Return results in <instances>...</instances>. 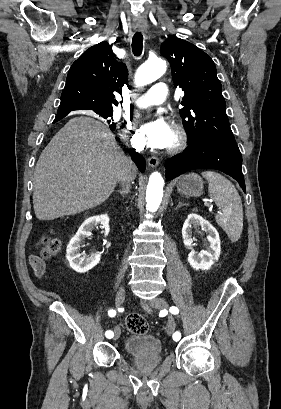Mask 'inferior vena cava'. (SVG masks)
<instances>
[{
  "label": "inferior vena cava",
  "instance_id": "602c4592",
  "mask_svg": "<svg viewBox=\"0 0 281 409\" xmlns=\"http://www.w3.org/2000/svg\"><path fill=\"white\" fill-rule=\"evenodd\" d=\"M136 176V166L133 160H126L124 170H122L119 180L123 186H131L132 180Z\"/></svg>",
  "mask_w": 281,
  "mask_h": 409
}]
</instances>
